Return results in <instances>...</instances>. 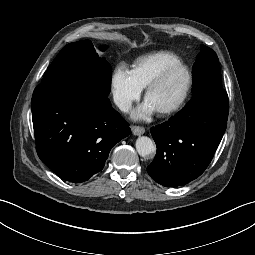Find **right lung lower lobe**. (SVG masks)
Here are the masks:
<instances>
[{
	"mask_svg": "<svg viewBox=\"0 0 255 255\" xmlns=\"http://www.w3.org/2000/svg\"><path fill=\"white\" fill-rule=\"evenodd\" d=\"M31 105L38 156L69 182L101 171L111 148L130 134L107 97L81 86L41 83Z\"/></svg>",
	"mask_w": 255,
	"mask_h": 255,
	"instance_id": "1",
	"label": "right lung lower lobe"
}]
</instances>
